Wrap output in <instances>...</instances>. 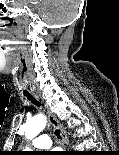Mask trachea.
Segmentation results:
<instances>
[{"instance_id":"3493384b","label":"trachea","mask_w":119,"mask_h":155,"mask_svg":"<svg viewBox=\"0 0 119 155\" xmlns=\"http://www.w3.org/2000/svg\"><path fill=\"white\" fill-rule=\"evenodd\" d=\"M23 96H26L29 101H31L34 105L40 106L41 104L32 96L30 95V90H23ZM55 135L58 139H62L60 135V130H55Z\"/></svg>"}]
</instances>
